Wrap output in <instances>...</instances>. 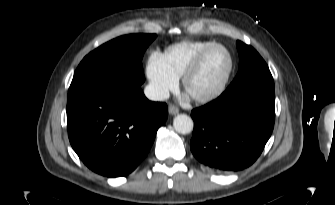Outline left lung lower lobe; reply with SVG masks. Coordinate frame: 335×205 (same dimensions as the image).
<instances>
[{"label":"left lung lower lobe","instance_id":"left-lung-lower-lobe-1","mask_svg":"<svg viewBox=\"0 0 335 205\" xmlns=\"http://www.w3.org/2000/svg\"><path fill=\"white\" fill-rule=\"evenodd\" d=\"M191 116L195 158L215 171H239L256 161L271 136L275 90L259 85L227 88Z\"/></svg>","mask_w":335,"mask_h":205}]
</instances>
